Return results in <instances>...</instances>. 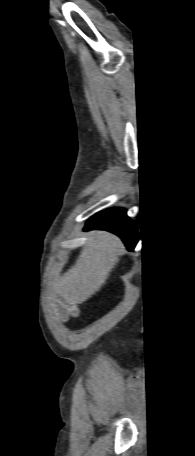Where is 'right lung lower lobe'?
Returning a JSON list of instances; mask_svg holds the SVG:
<instances>
[{"mask_svg": "<svg viewBox=\"0 0 195 456\" xmlns=\"http://www.w3.org/2000/svg\"><path fill=\"white\" fill-rule=\"evenodd\" d=\"M102 229L118 235L129 250L137 244L135 224L127 217L121 208L108 209L91 217L84 230Z\"/></svg>", "mask_w": 195, "mask_h": 456, "instance_id": "98d812e1", "label": "right lung lower lobe"}]
</instances>
